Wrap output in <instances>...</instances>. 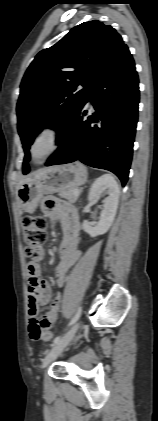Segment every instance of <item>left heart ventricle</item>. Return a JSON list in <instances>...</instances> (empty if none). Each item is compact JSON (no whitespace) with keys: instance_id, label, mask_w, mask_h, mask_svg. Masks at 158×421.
Wrapping results in <instances>:
<instances>
[{"instance_id":"b2bd125f","label":"left heart ventricle","mask_w":158,"mask_h":421,"mask_svg":"<svg viewBox=\"0 0 158 421\" xmlns=\"http://www.w3.org/2000/svg\"><path fill=\"white\" fill-rule=\"evenodd\" d=\"M51 147V140L49 136H43L34 147V154L37 158L44 155Z\"/></svg>"}]
</instances>
